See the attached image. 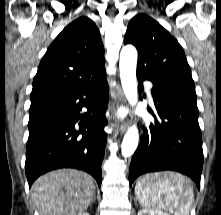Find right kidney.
I'll use <instances>...</instances> for the list:
<instances>
[{
  "label": "right kidney",
  "mask_w": 221,
  "mask_h": 215,
  "mask_svg": "<svg viewBox=\"0 0 221 215\" xmlns=\"http://www.w3.org/2000/svg\"><path fill=\"white\" fill-rule=\"evenodd\" d=\"M77 215H90V214L87 212H81V213H78Z\"/></svg>",
  "instance_id": "obj_1"
}]
</instances>
